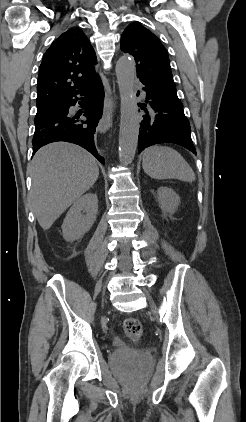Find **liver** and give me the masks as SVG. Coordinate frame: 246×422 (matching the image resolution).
Here are the masks:
<instances>
[{
    "label": "liver",
    "mask_w": 246,
    "mask_h": 422,
    "mask_svg": "<svg viewBox=\"0 0 246 422\" xmlns=\"http://www.w3.org/2000/svg\"><path fill=\"white\" fill-rule=\"evenodd\" d=\"M32 210L43 230L96 182L99 168L95 158L83 148L67 143L48 144L35 154L30 164Z\"/></svg>",
    "instance_id": "6515ba94"
}]
</instances>
